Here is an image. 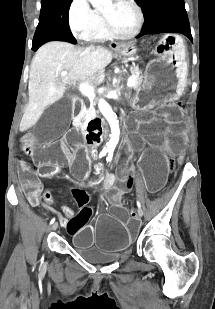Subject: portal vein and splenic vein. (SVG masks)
Returning a JSON list of instances; mask_svg holds the SVG:
<instances>
[{"instance_id":"obj_1","label":"portal vein and splenic vein","mask_w":215,"mask_h":309,"mask_svg":"<svg viewBox=\"0 0 215 309\" xmlns=\"http://www.w3.org/2000/svg\"><path fill=\"white\" fill-rule=\"evenodd\" d=\"M60 74H62V76H65V74H67V70H62ZM133 84H135V78H133V76H130L127 82V86H133ZM79 88L82 94H85V96H92V94H94L93 86H79Z\"/></svg>"}]
</instances>
